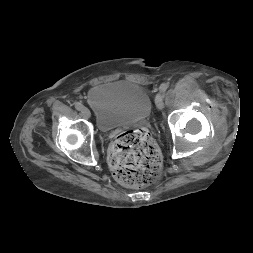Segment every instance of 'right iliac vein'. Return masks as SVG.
I'll return each instance as SVG.
<instances>
[{
  "mask_svg": "<svg viewBox=\"0 0 253 253\" xmlns=\"http://www.w3.org/2000/svg\"><path fill=\"white\" fill-rule=\"evenodd\" d=\"M81 115L85 118H90L91 116V113L89 111L88 108L84 107L82 110H81Z\"/></svg>",
  "mask_w": 253,
  "mask_h": 253,
  "instance_id": "63e3f726",
  "label": "right iliac vein"
}]
</instances>
